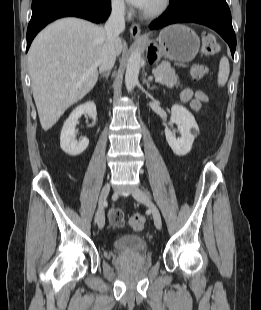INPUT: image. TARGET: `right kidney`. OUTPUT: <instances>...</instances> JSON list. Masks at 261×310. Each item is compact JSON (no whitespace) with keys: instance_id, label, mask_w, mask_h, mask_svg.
<instances>
[{"instance_id":"right-kidney-1","label":"right kidney","mask_w":261,"mask_h":310,"mask_svg":"<svg viewBox=\"0 0 261 310\" xmlns=\"http://www.w3.org/2000/svg\"><path fill=\"white\" fill-rule=\"evenodd\" d=\"M87 114L93 119V125L95 124L97 111L94 102L89 101L76 107L69 118L65 121L61 136H60V147L68 155L77 156L81 154L88 147L89 140L82 138L80 141L75 139L76 137V124L78 119L83 115Z\"/></svg>"}]
</instances>
